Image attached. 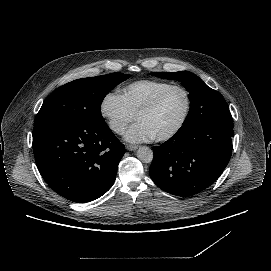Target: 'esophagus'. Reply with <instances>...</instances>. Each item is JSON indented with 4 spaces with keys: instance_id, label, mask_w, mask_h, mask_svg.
Returning <instances> with one entry per match:
<instances>
[{
    "instance_id": "34e87169",
    "label": "esophagus",
    "mask_w": 271,
    "mask_h": 271,
    "mask_svg": "<svg viewBox=\"0 0 271 271\" xmlns=\"http://www.w3.org/2000/svg\"><path fill=\"white\" fill-rule=\"evenodd\" d=\"M126 149L129 151H135L138 149V145L126 144Z\"/></svg>"
}]
</instances>
